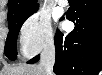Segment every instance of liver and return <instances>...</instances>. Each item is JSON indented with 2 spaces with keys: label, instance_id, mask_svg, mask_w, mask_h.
I'll return each mask as SVG.
<instances>
[{
  "label": "liver",
  "instance_id": "liver-1",
  "mask_svg": "<svg viewBox=\"0 0 102 75\" xmlns=\"http://www.w3.org/2000/svg\"><path fill=\"white\" fill-rule=\"evenodd\" d=\"M1 75H47L44 67L40 64L36 65H19L13 67H5Z\"/></svg>",
  "mask_w": 102,
  "mask_h": 75
}]
</instances>
